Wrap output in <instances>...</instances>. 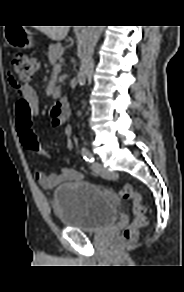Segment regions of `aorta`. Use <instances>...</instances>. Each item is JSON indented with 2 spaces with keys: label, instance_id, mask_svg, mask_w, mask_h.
Listing matches in <instances>:
<instances>
[{
  "label": "aorta",
  "instance_id": "1",
  "mask_svg": "<svg viewBox=\"0 0 184 292\" xmlns=\"http://www.w3.org/2000/svg\"><path fill=\"white\" fill-rule=\"evenodd\" d=\"M103 26H88L85 42L80 54V68L77 75L78 83L82 84L86 81V75L89 68L90 60L93 56L94 49L97 45V42L101 36Z\"/></svg>",
  "mask_w": 184,
  "mask_h": 292
}]
</instances>
